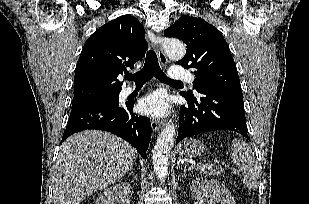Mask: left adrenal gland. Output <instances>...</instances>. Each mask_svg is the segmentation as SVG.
I'll list each match as a JSON object with an SVG mask.
<instances>
[{
  "label": "left adrenal gland",
  "mask_w": 309,
  "mask_h": 204,
  "mask_svg": "<svg viewBox=\"0 0 309 204\" xmlns=\"http://www.w3.org/2000/svg\"><path fill=\"white\" fill-rule=\"evenodd\" d=\"M183 165H185V164L183 163ZM190 170H191V169L189 168V169H188V171H190ZM186 172H187V169H186V166H184V173H183V177L185 176Z\"/></svg>",
  "instance_id": "1"
}]
</instances>
